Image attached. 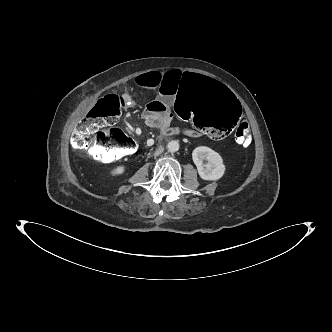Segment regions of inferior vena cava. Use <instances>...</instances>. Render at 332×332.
<instances>
[{"instance_id":"1","label":"inferior vena cava","mask_w":332,"mask_h":332,"mask_svg":"<svg viewBox=\"0 0 332 332\" xmlns=\"http://www.w3.org/2000/svg\"><path fill=\"white\" fill-rule=\"evenodd\" d=\"M162 152V149H160L159 151H157V154L161 153Z\"/></svg>"}]
</instances>
